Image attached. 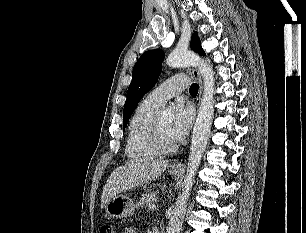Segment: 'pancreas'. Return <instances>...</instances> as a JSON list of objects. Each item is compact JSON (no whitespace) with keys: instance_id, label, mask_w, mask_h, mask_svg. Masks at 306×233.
Masks as SVG:
<instances>
[{"instance_id":"obj_1","label":"pancreas","mask_w":306,"mask_h":233,"mask_svg":"<svg viewBox=\"0 0 306 233\" xmlns=\"http://www.w3.org/2000/svg\"><path fill=\"white\" fill-rule=\"evenodd\" d=\"M157 194L158 192H150V193L145 194L137 202L136 207L144 208L149 204H153L157 200Z\"/></svg>"}]
</instances>
